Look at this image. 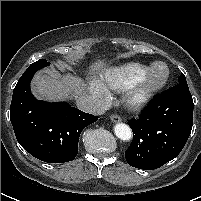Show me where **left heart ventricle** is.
<instances>
[{
    "label": "left heart ventricle",
    "instance_id": "left-heart-ventricle-1",
    "mask_svg": "<svg viewBox=\"0 0 201 201\" xmlns=\"http://www.w3.org/2000/svg\"><path fill=\"white\" fill-rule=\"evenodd\" d=\"M166 69L164 65H156L148 76L149 83H157L165 76Z\"/></svg>",
    "mask_w": 201,
    "mask_h": 201
}]
</instances>
